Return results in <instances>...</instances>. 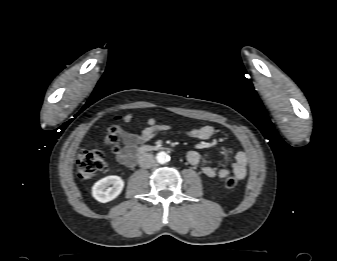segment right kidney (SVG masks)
Returning <instances> with one entry per match:
<instances>
[{"label": "right kidney", "mask_w": 337, "mask_h": 261, "mask_svg": "<svg viewBox=\"0 0 337 261\" xmlns=\"http://www.w3.org/2000/svg\"><path fill=\"white\" fill-rule=\"evenodd\" d=\"M112 185V187H109ZM124 181L119 176H107L97 181L92 187L93 197L106 203L115 199L123 190Z\"/></svg>", "instance_id": "right-kidney-1"}]
</instances>
